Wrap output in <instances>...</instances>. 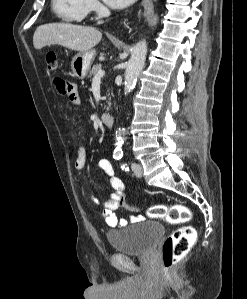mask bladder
<instances>
[{
    "label": "bladder",
    "mask_w": 247,
    "mask_h": 299,
    "mask_svg": "<svg viewBox=\"0 0 247 299\" xmlns=\"http://www.w3.org/2000/svg\"><path fill=\"white\" fill-rule=\"evenodd\" d=\"M165 234L164 226L157 221H141L107 233L111 247L130 255H143L152 250Z\"/></svg>",
    "instance_id": "obj_1"
}]
</instances>
